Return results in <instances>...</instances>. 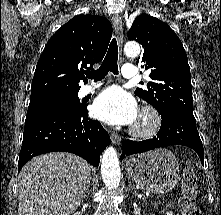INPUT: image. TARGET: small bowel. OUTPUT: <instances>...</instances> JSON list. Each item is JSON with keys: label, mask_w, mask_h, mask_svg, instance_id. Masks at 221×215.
<instances>
[{"label": "small bowel", "mask_w": 221, "mask_h": 215, "mask_svg": "<svg viewBox=\"0 0 221 215\" xmlns=\"http://www.w3.org/2000/svg\"><path fill=\"white\" fill-rule=\"evenodd\" d=\"M164 215H179V214H175V213H173L171 211H168V212L164 213Z\"/></svg>", "instance_id": "small-bowel-1"}]
</instances>
